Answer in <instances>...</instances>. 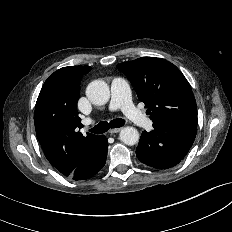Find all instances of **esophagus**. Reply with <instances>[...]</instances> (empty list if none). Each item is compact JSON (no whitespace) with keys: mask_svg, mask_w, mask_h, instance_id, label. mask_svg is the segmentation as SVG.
<instances>
[{"mask_svg":"<svg viewBox=\"0 0 232 232\" xmlns=\"http://www.w3.org/2000/svg\"><path fill=\"white\" fill-rule=\"evenodd\" d=\"M122 128H112L110 129L109 133L110 134H115L121 131Z\"/></svg>","mask_w":232,"mask_h":232,"instance_id":"34e87169","label":"esophagus"}]
</instances>
